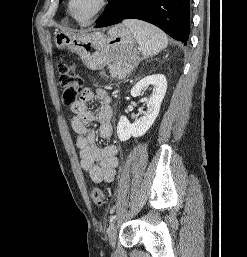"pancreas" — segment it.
<instances>
[{"label": "pancreas", "instance_id": "pancreas-1", "mask_svg": "<svg viewBox=\"0 0 247 257\" xmlns=\"http://www.w3.org/2000/svg\"><path fill=\"white\" fill-rule=\"evenodd\" d=\"M129 69L127 67L122 66L119 63H114L110 66V73L112 76L121 77L127 74Z\"/></svg>", "mask_w": 247, "mask_h": 257}]
</instances>
